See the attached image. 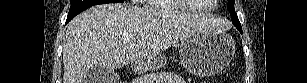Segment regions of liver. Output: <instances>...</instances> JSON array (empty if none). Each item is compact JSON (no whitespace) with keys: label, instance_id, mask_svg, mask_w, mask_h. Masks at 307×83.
<instances>
[{"label":"liver","instance_id":"6515ba94","mask_svg":"<svg viewBox=\"0 0 307 83\" xmlns=\"http://www.w3.org/2000/svg\"><path fill=\"white\" fill-rule=\"evenodd\" d=\"M220 25L211 16L141 10L124 4L94 6L72 19L63 44V83H83L94 68L137 66L173 43Z\"/></svg>","mask_w":307,"mask_h":83}]
</instances>
